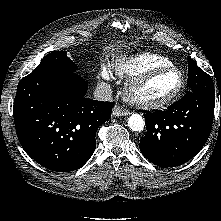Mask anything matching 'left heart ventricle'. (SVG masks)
Segmentation results:
<instances>
[{
    "mask_svg": "<svg viewBox=\"0 0 221 221\" xmlns=\"http://www.w3.org/2000/svg\"><path fill=\"white\" fill-rule=\"evenodd\" d=\"M180 82V76L175 71L161 73L136 90V96L146 99L162 98L172 93Z\"/></svg>",
    "mask_w": 221,
    "mask_h": 221,
    "instance_id": "obj_1",
    "label": "left heart ventricle"
}]
</instances>
